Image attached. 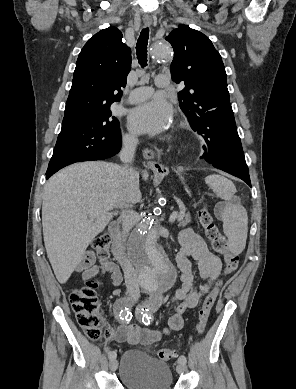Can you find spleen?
<instances>
[{
	"instance_id": "spleen-1",
	"label": "spleen",
	"mask_w": 296,
	"mask_h": 389,
	"mask_svg": "<svg viewBox=\"0 0 296 389\" xmlns=\"http://www.w3.org/2000/svg\"><path fill=\"white\" fill-rule=\"evenodd\" d=\"M205 183L218 197L226 201L221 215L223 232L228 239L229 251L238 255L246 246L248 217L245 208L235 197L236 187L231 180L217 174L207 176Z\"/></svg>"
}]
</instances>
